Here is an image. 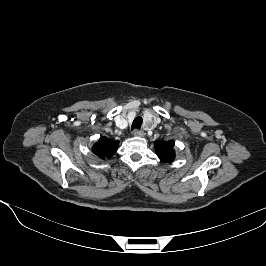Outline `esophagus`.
<instances>
[{
  "instance_id": "esophagus-1",
  "label": "esophagus",
  "mask_w": 266,
  "mask_h": 266,
  "mask_svg": "<svg viewBox=\"0 0 266 266\" xmlns=\"http://www.w3.org/2000/svg\"><path fill=\"white\" fill-rule=\"evenodd\" d=\"M134 135L138 136V137H143L144 136V132L142 130H135L134 131Z\"/></svg>"
}]
</instances>
